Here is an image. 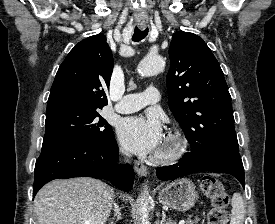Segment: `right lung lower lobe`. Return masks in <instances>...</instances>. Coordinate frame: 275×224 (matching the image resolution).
Instances as JSON below:
<instances>
[{"label":"right lung lower lobe","mask_w":275,"mask_h":224,"mask_svg":"<svg viewBox=\"0 0 275 224\" xmlns=\"http://www.w3.org/2000/svg\"><path fill=\"white\" fill-rule=\"evenodd\" d=\"M118 146L112 133L92 143H47L36 161L33 197L47 182L59 178L93 177L107 179L129 191L134 181L130 165L117 167Z\"/></svg>","instance_id":"obj_1"}]
</instances>
